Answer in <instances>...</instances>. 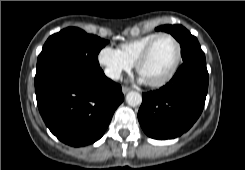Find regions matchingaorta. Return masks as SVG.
<instances>
[{
	"instance_id": "aorta-1",
	"label": "aorta",
	"mask_w": 245,
	"mask_h": 170,
	"mask_svg": "<svg viewBox=\"0 0 245 170\" xmlns=\"http://www.w3.org/2000/svg\"><path fill=\"white\" fill-rule=\"evenodd\" d=\"M126 101L132 107L139 106L142 103V96L138 92L130 91L126 95Z\"/></svg>"
}]
</instances>
